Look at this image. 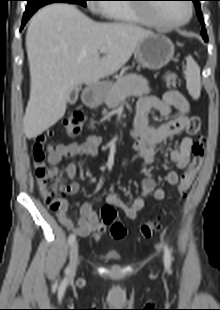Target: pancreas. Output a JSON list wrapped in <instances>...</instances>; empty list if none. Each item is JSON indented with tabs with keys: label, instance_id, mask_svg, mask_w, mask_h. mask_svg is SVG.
<instances>
[{
	"label": "pancreas",
	"instance_id": "1",
	"mask_svg": "<svg viewBox=\"0 0 220 310\" xmlns=\"http://www.w3.org/2000/svg\"><path fill=\"white\" fill-rule=\"evenodd\" d=\"M149 92L148 81L144 77L136 74L125 75L118 78L107 91L105 104L108 108L114 109L123 99L129 96H141Z\"/></svg>",
	"mask_w": 220,
	"mask_h": 310
}]
</instances>
